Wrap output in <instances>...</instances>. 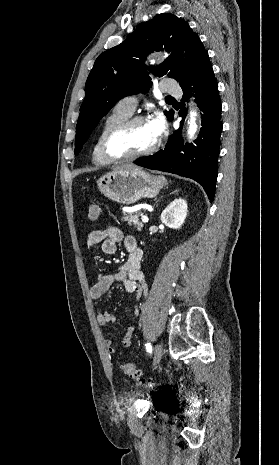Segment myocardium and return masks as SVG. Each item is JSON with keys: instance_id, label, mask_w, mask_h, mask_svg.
<instances>
[{"instance_id": "obj_1", "label": "myocardium", "mask_w": 279, "mask_h": 465, "mask_svg": "<svg viewBox=\"0 0 279 465\" xmlns=\"http://www.w3.org/2000/svg\"><path fill=\"white\" fill-rule=\"evenodd\" d=\"M139 123H149L148 119L144 116H131L116 125L112 126L104 135L101 141V153L105 159L110 162H122V161H130L139 158H143L153 154L158 146L159 140L156 137L154 143L144 151L130 153V154H114L111 151V142L118 134L123 133L124 131L128 130L132 126L139 124Z\"/></svg>"}]
</instances>
